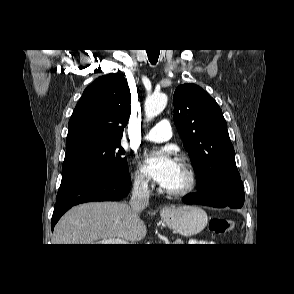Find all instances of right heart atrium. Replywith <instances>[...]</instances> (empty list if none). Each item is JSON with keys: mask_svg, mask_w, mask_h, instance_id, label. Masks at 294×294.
Listing matches in <instances>:
<instances>
[{"mask_svg": "<svg viewBox=\"0 0 294 294\" xmlns=\"http://www.w3.org/2000/svg\"><path fill=\"white\" fill-rule=\"evenodd\" d=\"M133 185L140 191H146L149 188V179L140 170H136L133 176Z\"/></svg>", "mask_w": 294, "mask_h": 294, "instance_id": "right-heart-atrium-1", "label": "right heart atrium"}]
</instances>
